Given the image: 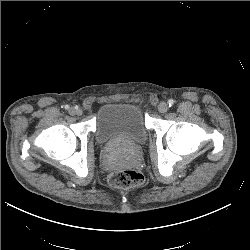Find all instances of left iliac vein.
<instances>
[{"label": "left iliac vein", "instance_id": "1", "mask_svg": "<svg viewBox=\"0 0 250 250\" xmlns=\"http://www.w3.org/2000/svg\"><path fill=\"white\" fill-rule=\"evenodd\" d=\"M167 110H168V104L167 103H165V102L159 103V105H158V111L160 113H165V112H167Z\"/></svg>", "mask_w": 250, "mask_h": 250}]
</instances>
